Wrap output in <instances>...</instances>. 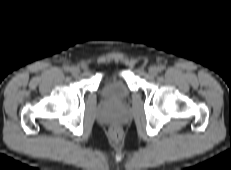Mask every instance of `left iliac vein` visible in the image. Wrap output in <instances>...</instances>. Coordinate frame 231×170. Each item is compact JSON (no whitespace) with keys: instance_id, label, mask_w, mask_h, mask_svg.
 <instances>
[{"instance_id":"4c4485c4","label":"left iliac vein","mask_w":231,"mask_h":170,"mask_svg":"<svg viewBox=\"0 0 231 170\" xmlns=\"http://www.w3.org/2000/svg\"><path fill=\"white\" fill-rule=\"evenodd\" d=\"M158 74V68L156 66H151L149 68V75L155 77Z\"/></svg>"}]
</instances>
